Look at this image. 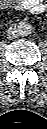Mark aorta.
<instances>
[{
  "mask_svg": "<svg viewBox=\"0 0 47 129\" xmlns=\"http://www.w3.org/2000/svg\"><path fill=\"white\" fill-rule=\"evenodd\" d=\"M17 31L20 36H28L32 32V26L28 22H20Z\"/></svg>",
  "mask_w": 47,
  "mask_h": 129,
  "instance_id": "762f6f07",
  "label": "aorta"
}]
</instances>
